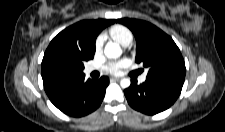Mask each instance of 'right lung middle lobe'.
Returning <instances> with one entry per match:
<instances>
[{
  "label": "right lung middle lobe",
  "mask_w": 225,
  "mask_h": 132,
  "mask_svg": "<svg viewBox=\"0 0 225 132\" xmlns=\"http://www.w3.org/2000/svg\"><path fill=\"white\" fill-rule=\"evenodd\" d=\"M94 53L80 52L67 39H53L45 51L42 68L53 75L75 76L83 73V62L92 59Z\"/></svg>",
  "instance_id": "dd1d6c3e"
}]
</instances>
